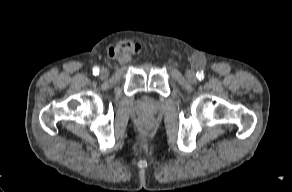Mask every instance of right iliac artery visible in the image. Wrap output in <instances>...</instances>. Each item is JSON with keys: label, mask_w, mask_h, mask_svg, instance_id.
<instances>
[{"label": "right iliac artery", "mask_w": 292, "mask_h": 192, "mask_svg": "<svg viewBox=\"0 0 292 192\" xmlns=\"http://www.w3.org/2000/svg\"><path fill=\"white\" fill-rule=\"evenodd\" d=\"M99 71H100V70H99L98 67H94V68H93V74H94V75H98V74H99Z\"/></svg>", "instance_id": "82829eb1"}]
</instances>
